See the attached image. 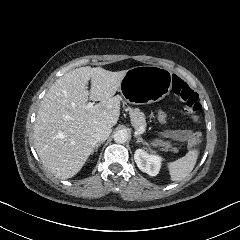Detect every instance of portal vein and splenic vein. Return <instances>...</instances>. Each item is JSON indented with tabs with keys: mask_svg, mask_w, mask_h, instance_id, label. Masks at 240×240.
<instances>
[{
	"mask_svg": "<svg viewBox=\"0 0 240 240\" xmlns=\"http://www.w3.org/2000/svg\"><path fill=\"white\" fill-rule=\"evenodd\" d=\"M87 107H93V103L89 102V103L87 104ZM135 133L143 134V133H144V128H143V127H138V128H137V132H135Z\"/></svg>",
	"mask_w": 240,
	"mask_h": 240,
	"instance_id": "portal-vein-and-splenic-vein-1",
	"label": "portal vein and splenic vein"
}]
</instances>
